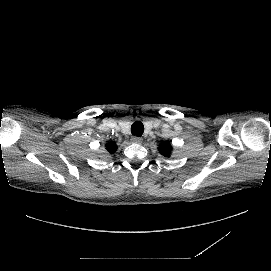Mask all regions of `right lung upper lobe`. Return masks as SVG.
Here are the masks:
<instances>
[{
  "instance_id": "1",
  "label": "right lung upper lobe",
  "mask_w": 271,
  "mask_h": 271,
  "mask_svg": "<svg viewBox=\"0 0 271 271\" xmlns=\"http://www.w3.org/2000/svg\"><path fill=\"white\" fill-rule=\"evenodd\" d=\"M106 149L110 152V153H114L117 149V145L114 142H109L106 145Z\"/></svg>"
}]
</instances>
